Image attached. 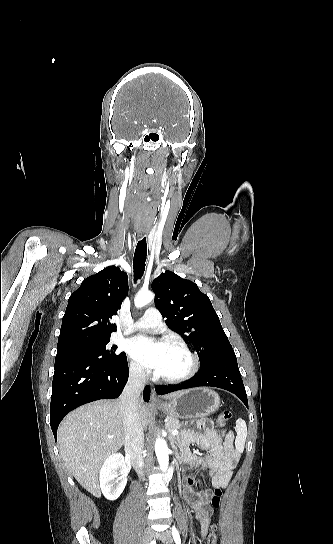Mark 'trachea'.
<instances>
[{
    "label": "trachea",
    "instance_id": "obj_1",
    "mask_svg": "<svg viewBox=\"0 0 333 544\" xmlns=\"http://www.w3.org/2000/svg\"><path fill=\"white\" fill-rule=\"evenodd\" d=\"M147 257V243L146 238L144 237L140 241H138L134 259H133V269H134V277L135 279H139L145 270V262Z\"/></svg>",
    "mask_w": 333,
    "mask_h": 544
}]
</instances>
